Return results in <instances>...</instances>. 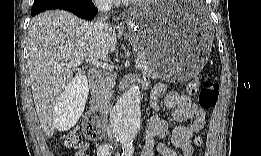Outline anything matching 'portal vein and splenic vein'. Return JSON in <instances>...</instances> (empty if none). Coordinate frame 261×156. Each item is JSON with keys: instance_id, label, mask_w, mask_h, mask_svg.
Returning <instances> with one entry per match:
<instances>
[{"instance_id": "1", "label": "portal vein and splenic vein", "mask_w": 261, "mask_h": 156, "mask_svg": "<svg viewBox=\"0 0 261 156\" xmlns=\"http://www.w3.org/2000/svg\"><path fill=\"white\" fill-rule=\"evenodd\" d=\"M82 63H83L82 60H75V61L69 63L68 66L72 67V68H75V67H78L79 65H81ZM89 63H92L93 65L102 67L103 69H107V70H112L113 69V66L108 65L106 63L99 62L98 60L89 61ZM135 67H136V69H141L142 68V63L139 62V61H136Z\"/></svg>"}]
</instances>
